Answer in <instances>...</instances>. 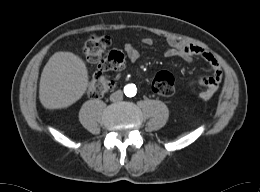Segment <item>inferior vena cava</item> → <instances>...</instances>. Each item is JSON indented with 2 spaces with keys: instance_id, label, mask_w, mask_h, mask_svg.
I'll list each match as a JSON object with an SVG mask.
<instances>
[{
  "instance_id": "602c4592",
  "label": "inferior vena cava",
  "mask_w": 260,
  "mask_h": 192,
  "mask_svg": "<svg viewBox=\"0 0 260 192\" xmlns=\"http://www.w3.org/2000/svg\"><path fill=\"white\" fill-rule=\"evenodd\" d=\"M123 99V92L121 90H117L116 92L110 95V100L113 102L120 101Z\"/></svg>"
}]
</instances>
